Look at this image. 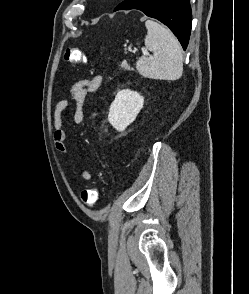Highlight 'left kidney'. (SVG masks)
<instances>
[{
	"instance_id": "1",
	"label": "left kidney",
	"mask_w": 249,
	"mask_h": 294,
	"mask_svg": "<svg viewBox=\"0 0 249 294\" xmlns=\"http://www.w3.org/2000/svg\"><path fill=\"white\" fill-rule=\"evenodd\" d=\"M143 104L144 98L138 92L130 89L119 91L109 109V123L117 131H124L136 119Z\"/></svg>"
}]
</instances>
